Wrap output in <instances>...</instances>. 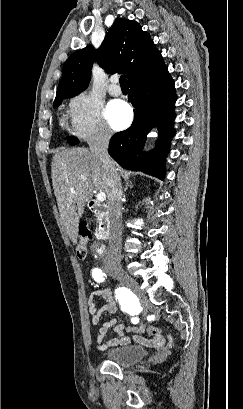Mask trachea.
I'll use <instances>...</instances> for the list:
<instances>
[{
  "label": "trachea",
  "mask_w": 243,
  "mask_h": 409,
  "mask_svg": "<svg viewBox=\"0 0 243 409\" xmlns=\"http://www.w3.org/2000/svg\"><path fill=\"white\" fill-rule=\"evenodd\" d=\"M119 82H120L121 87H128L127 79L125 75H121Z\"/></svg>",
  "instance_id": "3493384b"
}]
</instances>
